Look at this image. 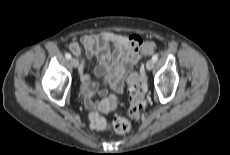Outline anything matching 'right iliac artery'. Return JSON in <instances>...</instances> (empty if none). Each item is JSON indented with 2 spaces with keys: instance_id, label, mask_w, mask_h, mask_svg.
<instances>
[{
  "instance_id": "right-iliac-artery-1",
  "label": "right iliac artery",
  "mask_w": 230,
  "mask_h": 155,
  "mask_svg": "<svg viewBox=\"0 0 230 155\" xmlns=\"http://www.w3.org/2000/svg\"><path fill=\"white\" fill-rule=\"evenodd\" d=\"M65 57H66V59H71V54L66 53Z\"/></svg>"
}]
</instances>
